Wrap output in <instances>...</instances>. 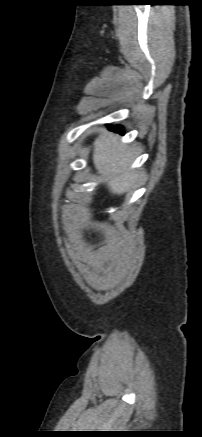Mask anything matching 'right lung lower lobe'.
I'll return each mask as SVG.
<instances>
[{
    "label": "right lung lower lobe",
    "mask_w": 202,
    "mask_h": 437,
    "mask_svg": "<svg viewBox=\"0 0 202 437\" xmlns=\"http://www.w3.org/2000/svg\"><path fill=\"white\" fill-rule=\"evenodd\" d=\"M110 130H113V131L118 132L120 134L124 133V128L121 125L112 126V127H110Z\"/></svg>",
    "instance_id": "obj_1"
}]
</instances>
